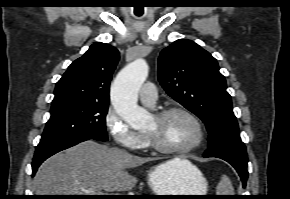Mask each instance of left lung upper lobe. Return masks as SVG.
<instances>
[{
	"label": "left lung upper lobe",
	"mask_w": 290,
	"mask_h": 199,
	"mask_svg": "<svg viewBox=\"0 0 290 199\" xmlns=\"http://www.w3.org/2000/svg\"><path fill=\"white\" fill-rule=\"evenodd\" d=\"M158 79L170 97L206 124L208 148L241 141L225 78L216 59L198 44L180 39L163 49Z\"/></svg>",
	"instance_id": "5c2ea615"
}]
</instances>
